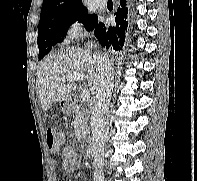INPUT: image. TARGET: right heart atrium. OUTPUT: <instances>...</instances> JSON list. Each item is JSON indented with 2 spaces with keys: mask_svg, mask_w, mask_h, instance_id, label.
I'll use <instances>...</instances> for the list:
<instances>
[{
  "mask_svg": "<svg viewBox=\"0 0 197 181\" xmlns=\"http://www.w3.org/2000/svg\"><path fill=\"white\" fill-rule=\"evenodd\" d=\"M83 33L84 28L80 22L72 21L67 25L66 35L69 40H77L82 37Z\"/></svg>",
  "mask_w": 197,
  "mask_h": 181,
  "instance_id": "1",
  "label": "right heart atrium"
}]
</instances>
